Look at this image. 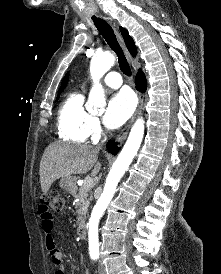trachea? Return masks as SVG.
<instances>
[{
  "label": "trachea",
  "mask_w": 221,
  "mask_h": 274,
  "mask_svg": "<svg viewBox=\"0 0 221 274\" xmlns=\"http://www.w3.org/2000/svg\"><path fill=\"white\" fill-rule=\"evenodd\" d=\"M92 20L94 21L96 28L101 33V35L103 36L107 44L117 54L118 63L121 71L123 72V74L130 77L132 74L131 68L116 39V36L111 26L105 20L101 18H97L93 16Z\"/></svg>",
  "instance_id": "trachea-1"
}]
</instances>
